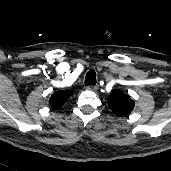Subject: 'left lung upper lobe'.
<instances>
[{"label":"left lung upper lobe","mask_w":171,"mask_h":171,"mask_svg":"<svg viewBox=\"0 0 171 171\" xmlns=\"http://www.w3.org/2000/svg\"><path fill=\"white\" fill-rule=\"evenodd\" d=\"M107 103L110 109L118 117L128 116L134 108V101L130 96L125 95L123 91L119 89L111 92Z\"/></svg>","instance_id":"5c2ea615"}]
</instances>
